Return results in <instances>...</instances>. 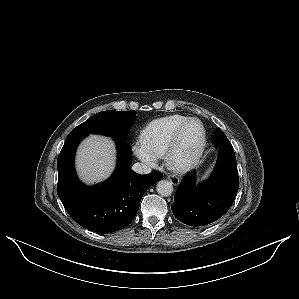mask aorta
<instances>
[{
	"instance_id": "1",
	"label": "aorta",
	"mask_w": 299,
	"mask_h": 299,
	"mask_svg": "<svg viewBox=\"0 0 299 299\" xmlns=\"http://www.w3.org/2000/svg\"><path fill=\"white\" fill-rule=\"evenodd\" d=\"M158 194L168 197L173 193V184L168 180H161L156 185Z\"/></svg>"
}]
</instances>
